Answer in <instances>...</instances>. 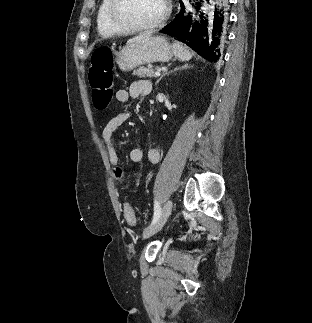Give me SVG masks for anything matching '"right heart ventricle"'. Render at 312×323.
Returning a JSON list of instances; mask_svg holds the SVG:
<instances>
[{
    "instance_id": "e07e8e85",
    "label": "right heart ventricle",
    "mask_w": 312,
    "mask_h": 323,
    "mask_svg": "<svg viewBox=\"0 0 312 323\" xmlns=\"http://www.w3.org/2000/svg\"><path fill=\"white\" fill-rule=\"evenodd\" d=\"M113 12L112 1H97L94 10L97 33H116L117 29H122V22H117Z\"/></svg>"
}]
</instances>
